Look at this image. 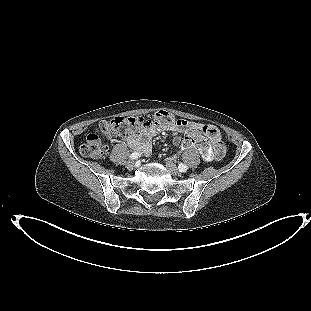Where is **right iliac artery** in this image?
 <instances>
[{"mask_svg": "<svg viewBox=\"0 0 311 311\" xmlns=\"http://www.w3.org/2000/svg\"><path fill=\"white\" fill-rule=\"evenodd\" d=\"M141 154L137 153V152H134L130 155V158L131 159H137L138 157H140Z\"/></svg>", "mask_w": 311, "mask_h": 311, "instance_id": "1", "label": "right iliac artery"}]
</instances>
